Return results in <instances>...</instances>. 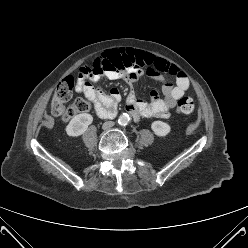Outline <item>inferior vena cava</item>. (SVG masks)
<instances>
[{
	"mask_svg": "<svg viewBox=\"0 0 248 248\" xmlns=\"http://www.w3.org/2000/svg\"><path fill=\"white\" fill-rule=\"evenodd\" d=\"M114 122L113 121H106L104 124H103V126H102V128L104 129V130H109L110 128H112L113 126H114Z\"/></svg>",
	"mask_w": 248,
	"mask_h": 248,
	"instance_id": "obj_1",
	"label": "inferior vena cava"
}]
</instances>
